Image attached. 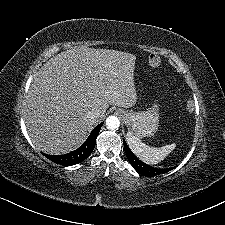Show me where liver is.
<instances>
[{
    "instance_id": "1",
    "label": "liver",
    "mask_w": 225,
    "mask_h": 225,
    "mask_svg": "<svg viewBox=\"0 0 225 225\" xmlns=\"http://www.w3.org/2000/svg\"><path fill=\"white\" fill-rule=\"evenodd\" d=\"M136 56L79 47L48 60L33 76L23 118L36 149L60 155L78 148L101 122L109 105L129 108L137 101ZM91 110L99 116L88 117Z\"/></svg>"
}]
</instances>
